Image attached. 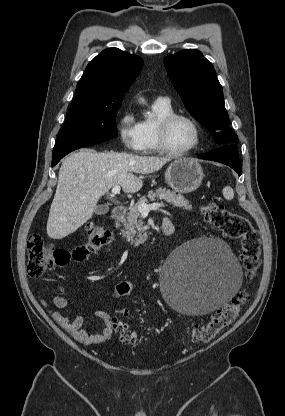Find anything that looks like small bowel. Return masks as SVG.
Wrapping results in <instances>:
<instances>
[{
    "label": "small bowel",
    "mask_w": 285,
    "mask_h": 416,
    "mask_svg": "<svg viewBox=\"0 0 285 416\" xmlns=\"http://www.w3.org/2000/svg\"><path fill=\"white\" fill-rule=\"evenodd\" d=\"M42 304L47 307L51 318L74 340L81 344H102L108 341L113 334L112 317L106 311L98 310L94 313L95 316L103 322L101 331L99 333H88L84 329V317L81 313L76 314L75 317L70 320L61 312L48 308V304L45 300H42ZM53 305L59 310H65L68 308V301L62 296H55L53 298Z\"/></svg>",
    "instance_id": "small-bowel-1"
}]
</instances>
